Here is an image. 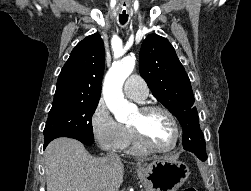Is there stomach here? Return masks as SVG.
<instances>
[{
  "label": "stomach",
  "mask_w": 251,
  "mask_h": 191,
  "mask_svg": "<svg viewBox=\"0 0 251 191\" xmlns=\"http://www.w3.org/2000/svg\"><path fill=\"white\" fill-rule=\"evenodd\" d=\"M137 173L146 191H177L190 175L187 163L169 155L153 157L147 167L139 165Z\"/></svg>",
  "instance_id": "obj_1"
}]
</instances>
